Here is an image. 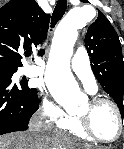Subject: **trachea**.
<instances>
[{
	"label": "trachea",
	"instance_id": "3493384b",
	"mask_svg": "<svg viewBox=\"0 0 124 149\" xmlns=\"http://www.w3.org/2000/svg\"><path fill=\"white\" fill-rule=\"evenodd\" d=\"M67 9V1L59 0L55 6L51 19V28L63 17Z\"/></svg>",
	"mask_w": 124,
	"mask_h": 149
}]
</instances>
